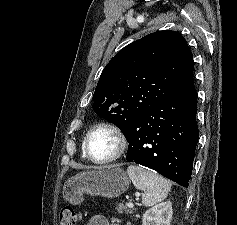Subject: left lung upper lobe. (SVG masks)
I'll return each mask as SVG.
<instances>
[{"label": "left lung upper lobe", "mask_w": 237, "mask_h": 225, "mask_svg": "<svg viewBox=\"0 0 237 225\" xmlns=\"http://www.w3.org/2000/svg\"><path fill=\"white\" fill-rule=\"evenodd\" d=\"M193 56L175 31H157L118 52L103 69L93 110L124 133L160 101L191 88Z\"/></svg>", "instance_id": "5c2ea615"}]
</instances>
